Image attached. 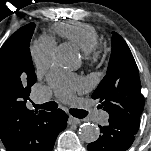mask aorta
Wrapping results in <instances>:
<instances>
[{
	"label": "aorta",
	"mask_w": 151,
	"mask_h": 151,
	"mask_svg": "<svg viewBox=\"0 0 151 151\" xmlns=\"http://www.w3.org/2000/svg\"><path fill=\"white\" fill-rule=\"evenodd\" d=\"M55 61L64 67L70 68L75 66L76 56L72 48L68 45L59 46L54 53ZM100 135V130L97 125L93 123H84L79 128V136L83 142H95Z\"/></svg>",
	"instance_id": "aorta-1"
}]
</instances>
